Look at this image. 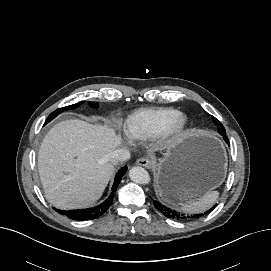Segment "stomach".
Here are the masks:
<instances>
[{"instance_id": "0dacf381", "label": "stomach", "mask_w": 271, "mask_h": 271, "mask_svg": "<svg viewBox=\"0 0 271 271\" xmlns=\"http://www.w3.org/2000/svg\"><path fill=\"white\" fill-rule=\"evenodd\" d=\"M226 166V152L217 138L189 132L154 164L156 191L169 203L198 199L223 181Z\"/></svg>"}]
</instances>
